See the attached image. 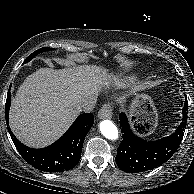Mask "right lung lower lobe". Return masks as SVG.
I'll return each mask as SVG.
<instances>
[{
  "mask_svg": "<svg viewBox=\"0 0 194 194\" xmlns=\"http://www.w3.org/2000/svg\"><path fill=\"white\" fill-rule=\"evenodd\" d=\"M10 104L11 93L9 90L5 106L7 126L9 124ZM93 123L94 117L91 113L79 115L59 140L43 149H33L25 146L11 132L10 127H8V131L18 152L34 168L47 172H63L73 169L78 164L84 139Z\"/></svg>",
  "mask_w": 194,
  "mask_h": 194,
  "instance_id": "1",
  "label": "right lung lower lobe"
}]
</instances>
